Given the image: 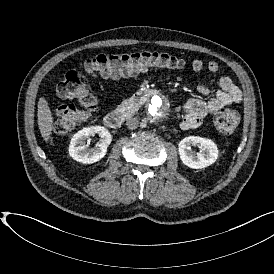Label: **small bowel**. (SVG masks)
Segmentation results:
<instances>
[{
  "mask_svg": "<svg viewBox=\"0 0 274 274\" xmlns=\"http://www.w3.org/2000/svg\"><path fill=\"white\" fill-rule=\"evenodd\" d=\"M211 73L219 71V64L216 61H209L206 65L200 59H194L191 63V69L195 73H200L204 69ZM128 76V75H125ZM117 78V76H113ZM219 89L215 95L207 101L200 99H190L184 105V117L182 120V128L185 130L194 129L202 125L204 120L211 114L220 109L239 103L242 101V92L239 87L228 76H221L218 80ZM197 91L201 95L207 96L211 93L209 87L199 84Z\"/></svg>",
  "mask_w": 274,
  "mask_h": 274,
  "instance_id": "obj_1",
  "label": "small bowel"
}]
</instances>
